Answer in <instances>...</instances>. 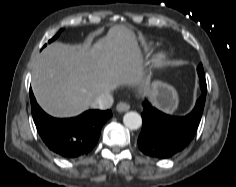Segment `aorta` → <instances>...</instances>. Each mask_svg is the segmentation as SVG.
I'll return each instance as SVG.
<instances>
[{
  "instance_id": "obj_1",
  "label": "aorta",
  "mask_w": 236,
  "mask_h": 187,
  "mask_svg": "<svg viewBox=\"0 0 236 187\" xmlns=\"http://www.w3.org/2000/svg\"><path fill=\"white\" fill-rule=\"evenodd\" d=\"M123 123L127 128L137 130L142 125V118L137 112H127L123 117Z\"/></svg>"
}]
</instances>
